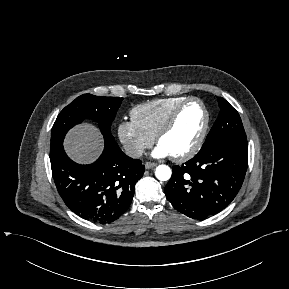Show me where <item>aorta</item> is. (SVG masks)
Wrapping results in <instances>:
<instances>
[{"mask_svg": "<svg viewBox=\"0 0 289 289\" xmlns=\"http://www.w3.org/2000/svg\"><path fill=\"white\" fill-rule=\"evenodd\" d=\"M172 171L167 165H159L155 170V176L160 181H167L171 178Z\"/></svg>", "mask_w": 289, "mask_h": 289, "instance_id": "obj_1", "label": "aorta"}]
</instances>
